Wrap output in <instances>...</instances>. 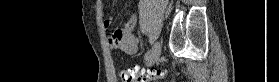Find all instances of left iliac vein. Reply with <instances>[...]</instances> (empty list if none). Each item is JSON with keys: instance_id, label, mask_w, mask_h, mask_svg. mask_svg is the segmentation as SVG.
I'll list each match as a JSON object with an SVG mask.
<instances>
[{"instance_id": "left-iliac-vein-1", "label": "left iliac vein", "mask_w": 279, "mask_h": 82, "mask_svg": "<svg viewBox=\"0 0 279 82\" xmlns=\"http://www.w3.org/2000/svg\"><path fill=\"white\" fill-rule=\"evenodd\" d=\"M161 54V45L158 41H156L150 51V57L147 61V66H152L154 65L160 57Z\"/></svg>"}]
</instances>
